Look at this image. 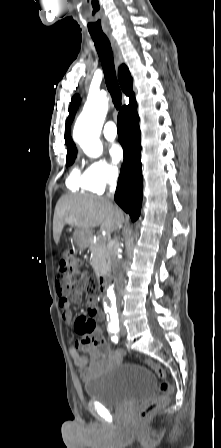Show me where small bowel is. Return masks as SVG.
Listing matches in <instances>:
<instances>
[{
  "label": "small bowel",
  "mask_w": 221,
  "mask_h": 448,
  "mask_svg": "<svg viewBox=\"0 0 221 448\" xmlns=\"http://www.w3.org/2000/svg\"><path fill=\"white\" fill-rule=\"evenodd\" d=\"M87 282L85 273H80L76 276L70 289L65 292L58 291L59 306L62 310V319L66 324L72 323L73 314L71 309L70 297L77 303L82 301L83 291ZM88 315L78 318L74 322V328L80 335L76 346L70 348V354L75 365L79 368L80 378L84 381L89 379L93 373L102 370L113 364L120 363L124 356V351L121 349L112 350L102 331L96 327L92 331H87L85 326L93 321L92 318H100L103 312L94 302H89ZM94 332V336L89 333ZM77 348H80L87 353V357L78 353Z\"/></svg>",
  "instance_id": "1"
}]
</instances>
